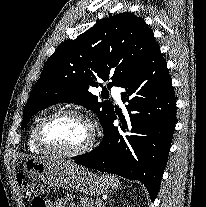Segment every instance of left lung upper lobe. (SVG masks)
Listing matches in <instances>:
<instances>
[{
	"label": "left lung upper lobe",
	"mask_w": 206,
	"mask_h": 207,
	"mask_svg": "<svg viewBox=\"0 0 206 207\" xmlns=\"http://www.w3.org/2000/svg\"><path fill=\"white\" fill-rule=\"evenodd\" d=\"M157 42L141 17L123 12L95 24L75 40L61 44L46 61L23 109L22 128L38 111L60 102H74L92 110L104 128L113 104L98 102L90 92L98 80L120 86Z\"/></svg>",
	"instance_id": "5c2ea615"
}]
</instances>
